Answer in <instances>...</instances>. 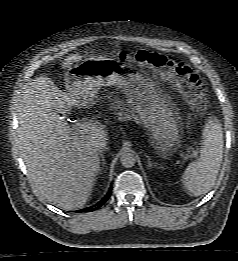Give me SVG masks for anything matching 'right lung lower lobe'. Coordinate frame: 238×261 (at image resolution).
Instances as JSON below:
<instances>
[{
  "instance_id": "1",
  "label": "right lung lower lobe",
  "mask_w": 238,
  "mask_h": 261,
  "mask_svg": "<svg viewBox=\"0 0 238 261\" xmlns=\"http://www.w3.org/2000/svg\"><path fill=\"white\" fill-rule=\"evenodd\" d=\"M108 198H109V194L106 195V197H104V198L102 199V201H101V203H100V206H101L102 204H104V203L106 202V200H108ZM100 206H98V207H100ZM93 210H94V209H93Z\"/></svg>"
}]
</instances>
